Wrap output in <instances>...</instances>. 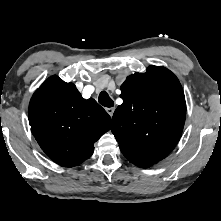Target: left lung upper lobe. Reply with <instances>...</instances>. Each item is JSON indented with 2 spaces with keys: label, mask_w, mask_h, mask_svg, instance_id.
I'll return each instance as SVG.
<instances>
[{
  "label": "left lung upper lobe",
  "mask_w": 221,
  "mask_h": 221,
  "mask_svg": "<svg viewBox=\"0 0 221 221\" xmlns=\"http://www.w3.org/2000/svg\"><path fill=\"white\" fill-rule=\"evenodd\" d=\"M123 104L112 118L114 134L130 161L154 165L178 143L186 116V102L178 78L161 66L127 77L121 85Z\"/></svg>",
  "instance_id": "1"
}]
</instances>
